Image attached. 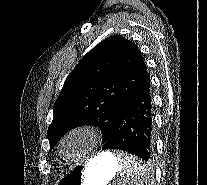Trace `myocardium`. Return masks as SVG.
Returning a JSON list of instances; mask_svg holds the SVG:
<instances>
[{"mask_svg": "<svg viewBox=\"0 0 207 185\" xmlns=\"http://www.w3.org/2000/svg\"><path fill=\"white\" fill-rule=\"evenodd\" d=\"M77 133L85 134L90 140V145L82 154L75 157L74 159L68 160L63 156L62 147H63L64 142L68 138H70L71 136ZM101 140H102V134L96 126L91 125V124L76 125L72 127L71 129H69L60 139L58 143V155L66 163H71V164L78 163L94 155L96 152V148Z\"/></svg>", "mask_w": 207, "mask_h": 185, "instance_id": "myocardium-1", "label": "myocardium"}]
</instances>
